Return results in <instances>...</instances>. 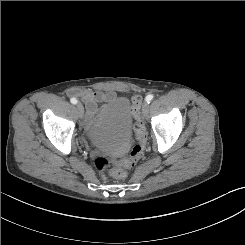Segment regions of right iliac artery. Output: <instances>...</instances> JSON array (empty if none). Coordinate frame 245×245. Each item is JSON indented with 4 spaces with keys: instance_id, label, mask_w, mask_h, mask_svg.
<instances>
[{
    "instance_id": "82829eb1",
    "label": "right iliac artery",
    "mask_w": 245,
    "mask_h": 245,
    "mask_svg": "<svg viewBox=\"0 0 245 245\" xmlns=\"http://www.w3.org/2000/svg\"><path fill=\"white\" fill-rule=\"evenodd\" d=\"M70 101H71L72 104H76L77 103V99L76 98H71Z\"/></svg>"
}]
</instances>
